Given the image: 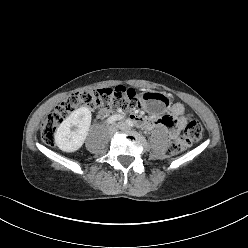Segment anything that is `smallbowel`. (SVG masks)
Listing matches in <instances>:
<instances>
[{"instance_id":"obj_1","label":"small bowel","mask_w":248,"mask_h":248,"mask_svg":"<svg viewBox=\"0 0 248 248\" xmlns=\"http://www.w3.org/2000/svg\"><path fill=\"white\" fill-rule=\"evenodd\" d=\"M134 120L140 122L145 128H162L168 137L177 138L186 122L185 109L180 103H176L172 107L171 116H163L161 118H144L139 115L132 117Z\"/></svg>"}]
</instances>
